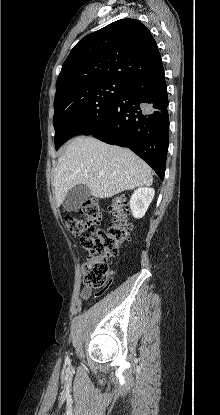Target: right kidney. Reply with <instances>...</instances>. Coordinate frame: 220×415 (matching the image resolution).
Returning <instances> with one entry per match:
<instances>
[{
    "instance_id": "right-kidney-1",
    "label": "right kidney",
    "mask_w": 220,
    "mask_h": 415,
    "mask_svg": "<svg viewBox=\"0 0 220 415\" xmlns=\"http://www.w3.org/2000/svg\"><path fill=\"white\" fill-rule=\"evenodd\" d=\"M153 188L141 187L134 191L130 199V209L135 218H142L153 200Z\"/></svg>"
}]
</instances>
